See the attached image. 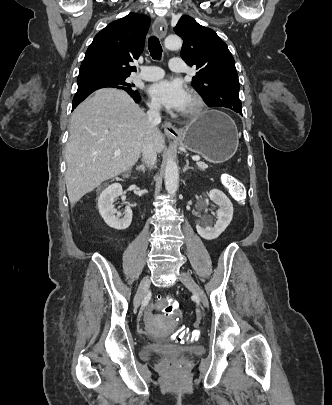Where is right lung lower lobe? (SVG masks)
<instances>
[{
	"instance_id": "98d812e1",
	"label": "right lung lower lobe",
	"mask_w": 332,
	"mask_h": 405,
	"mask_svg": "<svg viewBox=\"0 0 332 405\" xmlns=\"http://www.w3.org/2000/svg\"><path fill=\"white\" fill-rule=\"evenodd\" d=\"M100 88H104V86H95V87H90V88H87L84 90L77 91V93L75 94V96L73 98L72 111L78 106V104H80L92 92H94ZM126 92L129 93V95L134 99V101L136 103L140 102L141 97H140L139 93L130 92V91H126Z\"/></svg>"
}]
</instances>
